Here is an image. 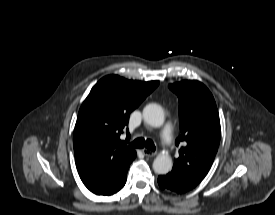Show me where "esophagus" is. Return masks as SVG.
I'll list each match as a JSON object with an SVG mask.
<instances>
[{
    "mask_svg": "<svg viewBox=\"0 0 275 215\" xmlns=\"http://www.w3.org/2000/svg\"><path fill=\"white\" fill-rule=\"evenodd\" d=\"M143 154L147 157H154L156 155V152L150 151L146 148L142 150Z\"/></svg>",
    "mask_w": 275,
    "mask_h": 215,
    "instance_id": "34e87169",
    "label": "esophagus"
}]
</instances>
